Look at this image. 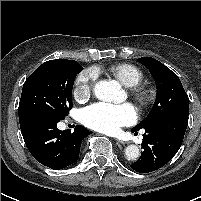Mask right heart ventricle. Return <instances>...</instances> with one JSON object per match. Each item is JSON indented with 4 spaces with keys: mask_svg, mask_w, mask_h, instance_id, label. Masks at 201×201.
<instances>
[{
    "mask_svg": "<svg viewBox=\"0 0 201 201\" xmlns=\"http://www.w3.org/2000/svg\"><path fill=\"white\" fill-rule=\"evenodd\" d=\"M107 71L121 84L127 87L136 86L143 80L142 71L135 65L129 63H118L112 65L107 69Z\"/></svg>",
    "mask_w": 201,
    "mask_h": 201,
    "instance_id": "right-heart-ventricle-1",
    "label": "right heart ventricle"
}]
</instances>
